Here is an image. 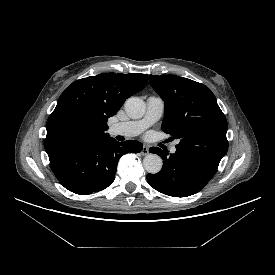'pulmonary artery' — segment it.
<instances>
[{"label": "pulmonary artery", "instance_id": "e3ab8cb5", "mask_svg": "<svg viewBox=\"0 0 275 275\" xmlns=\"http://www.w3.org/2000/svg\"><path fill=\"white\" fill-rule=\"evenodd\" d=\"M146 105V113L142 119L116 123L110 127L109 133L113 136L134 137L158 121L164 112V101L160 97L150 96ZM170 152L175 153L176 147L172 146Z\"/></svg>", "mask_w": 275, "mask_h": 275}]
</instances>
